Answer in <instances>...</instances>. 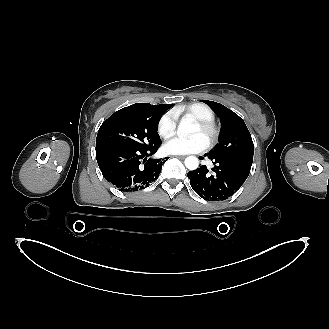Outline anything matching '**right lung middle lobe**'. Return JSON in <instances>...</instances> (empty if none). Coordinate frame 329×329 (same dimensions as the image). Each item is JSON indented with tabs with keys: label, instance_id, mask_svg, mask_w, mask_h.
<instances>
[{
	"label": "right lung middle lobe",
	"instance_id": "1",
	"mask_svg": "<svg viewBox=\"0 0 329 329\" xmlns=\"http://www.w3.org/2000/svg\"><path fill=\"white\" fill-rule=\"evenodd\" d=\"M173 104H134L129 110L111 115L99 128L96 146L119 144L147 148L160 143L157 133L161 116Z\"/></svg>",
	"mask_w": 329,
	"mask_h": 329
}]
</instances>
